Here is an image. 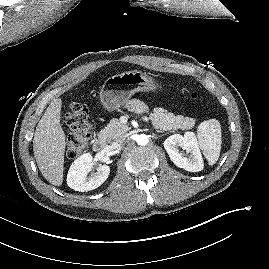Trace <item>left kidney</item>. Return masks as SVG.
Here are the masks:
<instances>
[{"label": "left kidney", "mask_w": 269, "mask_h": 269, "mask_svg": "<svg viewBox=\"0 0 269 269\" xmlns=\"http://www.w3.org/2000/svg\"><path fill=\"white\" fill-rule=\"evenodd\" d=\"M164 148L177 167L189 172H199L203 169L202 155L193 132H186L184 136L171 135L164 141ZM180 148L183 151H180Z\"/></svg>", "instance_id": "left-kidney-1"}]
</instances>
